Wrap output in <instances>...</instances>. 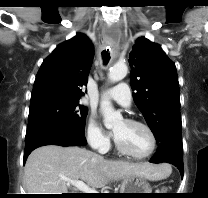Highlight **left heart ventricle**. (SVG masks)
Returning <instances> with one entry per match:
<instances>
[{
	"label": "left heart ventricle",
	"mask_w": 208,
	"mask_h": 198,
	"mask_svg": "<svg viewBox=\"0 0 208 198\" xmlns=\"http://www.w3.org/2000/svg\"><path fill=\"white\" fill-rule=\"evenodd\" d=\"M114 133L115 138L134 154H146L151 148L150 136L140 126L122 120L114 126Z\"/></svg>",
	"instance_id": "left-heart-ventricle-1"
}]
</instances>
